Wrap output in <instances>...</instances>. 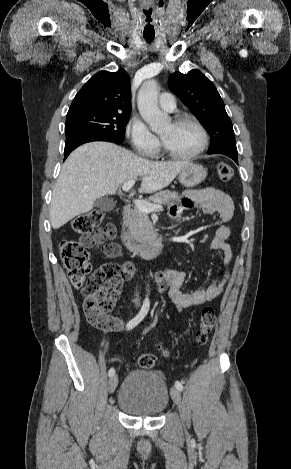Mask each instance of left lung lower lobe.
I'll return each mask as SVG.
<instances>
[{
    "instance_id": "1",
    "label": "left lung lower lobe",
    "mask_w": 291,
    "mask_h": 469,
    "mask_svg": "<svg viewBox=\"0 0 291 469\" xmlns=\"http://www.w3.org/2000/svg\"><path fill=\"white\" fill-rule=\"evenodd\" d=\"M215 153L224 154V155L232 158L238 164V152H235V151H218V152H213V153H209V154H215Z\"/></svg>"
}]
</instances>
